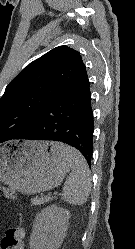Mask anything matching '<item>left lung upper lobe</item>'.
Segmentation results:
<instances>
[{
    "label": "left lung upper lobe",
    "instance_id": "obj_1",
    "mask_svg": "<svg viewBox=\"0 0 135 249\" xmlns=\"http://www.w3.org/2000/svg\"><path fill=\"white\" fill-rule=\"evenodd\" d=\"M87 78L80 53L65 45L30 63L0 99V143L30 131L43 108Z\"/></svg>",
    "mask_w": 135,
    "mask_h": 249
}]
</instances>
